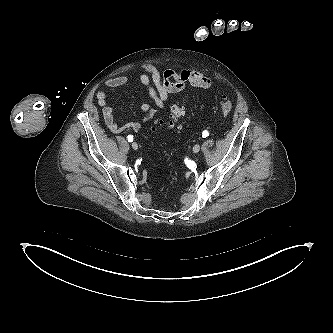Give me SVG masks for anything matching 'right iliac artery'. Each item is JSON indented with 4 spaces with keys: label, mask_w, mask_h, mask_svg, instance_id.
Here are the masks:
<instances>
[{
    "label": "right iliac artery",
    "mask_w": 333,
    "mask_h": 333,
    "mask_svg": "<svg viewBox=\"0 0 333 333\" xmlns=\"http://www.w3.org/2000/svg\"><path fill=\"white\" fill-rule=\"evenodd\" d=\"M127 140H128L129 142H132V141H133V136H132V135H129V136L127 137Z\"/></svg>",
    "instance_id": "82829eb1"
}]
</instances>
